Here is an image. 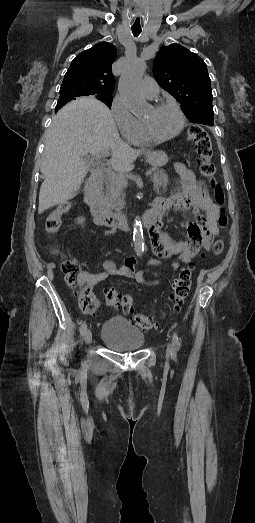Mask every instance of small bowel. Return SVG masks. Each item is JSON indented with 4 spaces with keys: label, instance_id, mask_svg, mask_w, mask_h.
<instances>
[{
    "label": "small bowel",
    "instance_id": "obj_1",
    "mask_svg": "<svg viewBox=\"0 0 255 523\" xmlns=\"http://www.w3.org/2000/svg\"><path fill=\"white\" fill-rule=\"evenodd\" d=\"M182 181L178 192L170 196V209L174 211H191L194 214L193 221L183 223L187 231V238L182 241H170L161 231L163 224L159 222L149 231L150 249L155 257H149L147 264L160 266L163 260L174 257L170 268L172 272L179 269L180 263H190L196 254L202 249L209 250L214 237L218 234L217 220L219 207L213 203L205 185L197 181L195 174L183 166L177 167ZM138 259L127 258L121 266L110 259L102 263L103 271L99 273L83 272V280L94 286L109 276H123L144 286L159 284L160 274L151 269L136 270ZM152 275L154 280H146V275Z\"/></svg>",
    "mask_w": 255,
    "mask_h": 523
}]
</instances>
